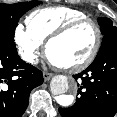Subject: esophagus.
Returning a JSON list of instances; mask_svg holds the SVG:
<instances>
[{
    "label": "esophagus",
    "mask_w": 117,
    "mask_h": 117,
    "mask_svg": "<svg viewBox=\"0 0 117 117\" xmlns=\"http://www.w3.org/2000/svg\"><path fill=\"white\" fill-rule=\"evenodd\" d=\"M51 77H52L51 73H48V72L43 73V78L45 82L48 81Z\"/></svg>",
    "instance_id": "esophagus-1"
}]
</instances>
